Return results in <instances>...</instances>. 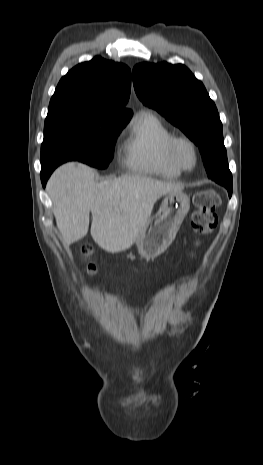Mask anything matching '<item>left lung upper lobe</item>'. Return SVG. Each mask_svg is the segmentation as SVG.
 Instances as JSON below:
<instances>
[{
  "instance_id": "obj_1",
  "label": "left lung upper lobe",
  "mask_w": 263,
  "mask_h": 465,
  "mask_svg": "<svg viewBox=\"0 0 263 465\" xmlns=\"http://www.w3.org/2000/svg\"><path fill=\"white\" fill-rule=\"evenodd\" d=\"M133 84L143 104L157 110L179 127L199 148L202 156L218 161L217 183L232 194L222 123L204 85L182 64L141 63L133 68ZM212 179V178H211Z\"/></svg>"
}]
</instances>
